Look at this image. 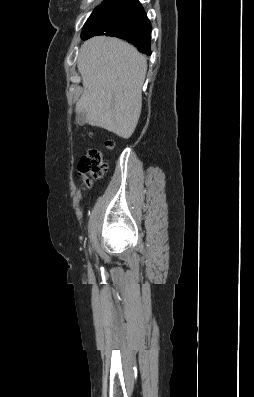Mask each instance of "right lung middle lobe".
I'll return each mask as SVG.
<instances>
[{"label":"right lung middle lobe","mask_w":254,"mask_h":397,"mask_svg":"<svg viewBox=\"0 0 254 397\" xmlns=\"http://www.w3.org/2000/svg\"><path fill=\"white\" fill-rule=\"evenodd\" d=\"M105 2V0L101 3L100 6L96 7L95 10L93 11V13L90 15V17L88 18L87 22L99 11V9L101 8V6L103 5V3ZM86 22V23H87ZM85 23V24H86Z\"/></svg>","instance_id":"right-lung-middle-lobe-1"}]
</instances>
